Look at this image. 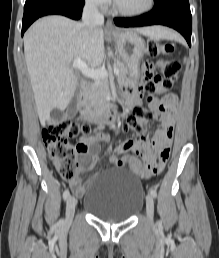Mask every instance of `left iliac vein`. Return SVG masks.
Masks as SVG:
<instances>
[{
  "label": "left iliac vein",
  "mask_w": 219,
  "mask_h": 258,
  "mask_svg": "<svg viewBox=\"0 0 219 258\" xmlns=\"http://www.w3.org/2000/svg\"><path fill=\"white\" fill-rule=\"evenodd\" d=\"M146 214L150 221V223H153V216H154V200L152 195L146 196Z\"/></svg>",
  "instance_id": "obj_1"
}]
</instances>
